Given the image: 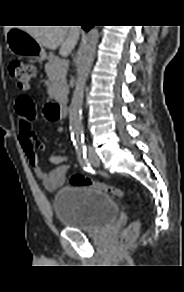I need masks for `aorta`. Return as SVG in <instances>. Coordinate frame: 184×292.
<instances>
[{"label":"aorta","mask_w":184,"mask_h":292,"mask_svg":"<svg viewBox=\"0 0 184 292\" xmlns=\"http://www.w3.org/2000/svg\"><path fill=\"white\" fill-rule=\"evenodd\" d=\"M98 39L99 31L97 27H93L87 33L78 54L77 78L69 110L70 125L72 127V132L75 136V140L78 144H80L82 141L81 114L83 106L84 87L91 65L94 60Z\"/></svg>","instance_id":"762f6f07"}]
</instances>
